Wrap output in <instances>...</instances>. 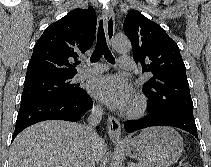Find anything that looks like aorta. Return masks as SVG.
I'll return each mask as SVG.
<instances>
[{
    "label": "aorta",
    "mask_w": 211,
    "mask_h": 167,
    "mask_svg": "<svg viewBox=\"0 0 211 167\" xmlns=\"http://www.w3.org/2000/svg\"><path fill=\"white\" fill-rule=\"evenodd\" d=\"M113 47L117 52L125 53L130 51L131 43L127 38H116L113 42ZM110 167H122V156L116 152L110 163Z\"/></svg>",
    "instance_id": "1"
}]
</instances>
